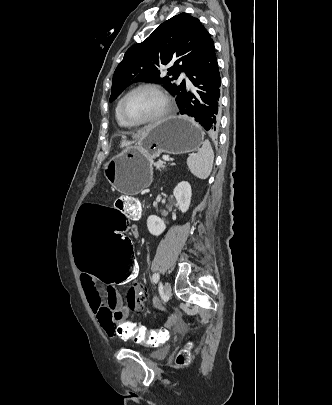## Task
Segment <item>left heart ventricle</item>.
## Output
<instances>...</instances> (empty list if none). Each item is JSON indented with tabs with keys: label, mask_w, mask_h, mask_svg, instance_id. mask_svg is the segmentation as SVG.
Segmentation results:
<instances>
[{
	"label": "left heart ventricle",
	"mask_w": 332,
	"mask_h": 405,
	"mask_svg": "<svg viewBox=\"0 0 332 405\" xmlns=\"http://www.w3.org/2000/svg\"><path fill=\"white\" fill-rule=\"evenodd\" d=\"M163 108L161 97L153 90L141 89L132 93L124 102L125 115L132 121L156 116Z\"/></svg>",
	"instance_id": "obj_1"
}]
</instances>
